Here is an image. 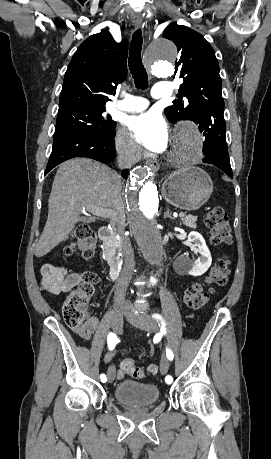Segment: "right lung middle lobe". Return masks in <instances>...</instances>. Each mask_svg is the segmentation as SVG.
<instances>
[{"label":"right lung middle lobe","instance_id":"right-lung-middle-lobe-1","mask_svg":"<svg viewBox=\"0 0 271 459\" xmlns=\"http://www.w3.org/2000/svg\"><path fill=\"white\" fill-rule=\"evenodd\" d=\"M105 110L106 108L82 107L58 112L54 140L74 132H111L116 122L109 115H103Z\"/></svg>","mask_w":271,"mask_h":459}]
</instances>
